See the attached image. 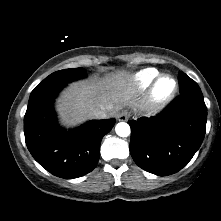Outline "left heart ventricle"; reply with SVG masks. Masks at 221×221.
Returning a JSON list of instances; mask_svg holds the SVG:
<instances>
[{
	"label": "left heart ventricle",
	"instance_id": "1",
	"mask_svg": "<svg viewBox=\"0 0 221 221\" xmlns=\"http://www.w3.org/2000/svg\"><path fill=\"white\" fill-rule=\"evenodd\" d=\"M172 87L173 83L170 79H163L158 86V92L160 95H164L168 93Z\"/></svg>",
	"mask_w": 221,
	"mask_h": 221
}]
</instances>
